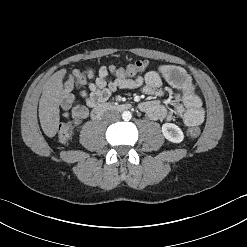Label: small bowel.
Wrapping results in <instances>:
<instances>
[{
  "label": "small bowel",
  "mask_w": 247,
  "mask_h": 247,
  "mask_svg": "<svg viewBox=\"0 0 247 247\" xmlns=\"http://www.w3.org/2000/svg\"><path fill=\"white\" fill-rule=\"evenodd\" d=\"M111 68L102 66L96 78H90L87 90H81L80 96L86 106L75 105L72 91L76 87L74 77L69 75L64 83L61 108L74 120L82 121L88 115V107L93 108L106 102L120 89L140 90L155 98L144 101L140 109L153 120L171 121L180 119L186 126L200 125L204 121L202 101L186 71L175 65H162L157 70L147 72L135 78L115 77L108 81ZM163 81L178 90L174 95H166L162 90Z\"/></svg>",
  "instance_id": "1"
}]
</instances>
